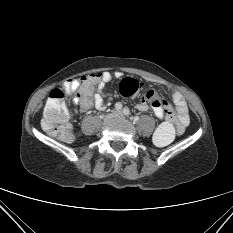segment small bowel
<instances>
[{
    "label": "small bowel",
    "mask_w": 233,
    "mask_h": 233,
    "mask_svg": "<svg viewBox=\"0 0 233 233\" xmlns=\"http://www.w3.org/2000/svg\"><path fill=\"white\" fill-rule=\"evenodd\" d=\"M121 73H115V77H120ZM112 79V75L109 72H103L100 74L99 80L91 92H86L83 86V80H73L68 86V92L74 96L75 104L79 105L80 111L85 112L94 107L100 111L105 110L110 97L105 95V85ZM172 101L175 105V109L165 100L155 97L154 99H147L146 97L137 105V109L141 112H146L149 109L147 100L151 102L153 112L159 119L164 117L173 122L176 126L177 133H182L188 124V108L184 97L176 90L170 89ZM170 111V117H167L165 110Z\"/></svg>",
    "instance_id": "small-bowel-1"
}]
</instances>
